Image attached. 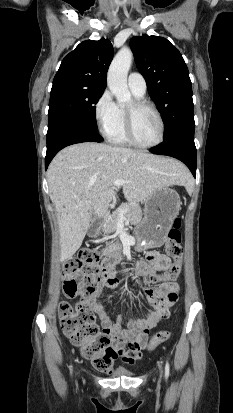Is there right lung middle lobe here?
<instances>
[{
  "instance_id": "dd1d6c3e",
  "label": "right lung middle lobe",
  "mask_w": 233,
  "mask_h": 413,
  "mask_svg": "<svg viewBox=\"0 0 233 413\" xmlns=\"http://www.w3.org/2000/svg\"><path fill=\"white\" fill-rule=\"evenodd\" d=\"M103 91L72 83L53 85L49 101L48 127L66 121L98 131L95 104Z\"/></svg>"
}]
</instances>
